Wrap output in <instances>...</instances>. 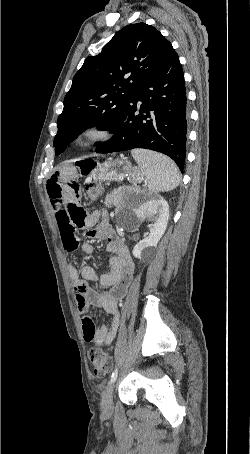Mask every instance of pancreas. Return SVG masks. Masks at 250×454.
Returning <instances> with one entry per match:
<instances>
[{
	"label": "pancreas",
	"instance_id": "obj_1",
	"mask_svg": "<svg viewBox=\"0 0 250 454\" xmlns=\"http://www.w3.org/2000/svg\"><path fill=\"white\" fill-rule=\"evenodd\" d=\"M121 195L119 194V190H114L110 194L107 195L104 204L106 207L111 208L113 206H119L121 204Z\"/></svg>",
	"mask_w": 250,
	"mask_h": 454
}]
</instances>
